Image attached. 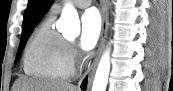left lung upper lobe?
<instances>
[{
  "instance_id": "obj_1",
  "label": "left lung upper lobe",
  "mask_w": 173,
  "mask_h": 91,
  "mask_svg": "<svg viewBox=\"0 0 173 91\" xmlns=\"http://www.w3.org/2000/svg\"><path fill=\"white\" fill-rule=\"evenodd\" d=\"M33 2H34L33 0H28L27 9H30V7L32 6ZM25 17H26V11H25V13H24V20H25Z\"/></svg>"
}]
</instances>
